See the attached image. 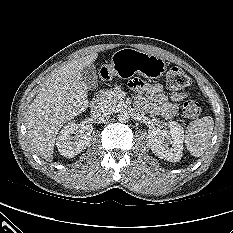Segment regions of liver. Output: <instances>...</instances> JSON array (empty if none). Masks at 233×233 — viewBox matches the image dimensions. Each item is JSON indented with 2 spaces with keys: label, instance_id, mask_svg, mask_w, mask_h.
I'll return each mask as SVG.
<instances>
[{
  "label": "liver",
  "instance_id": "1",
  "mask_svg": "<svg viewBox=\"0 0 233 233\" xmlns=\"http://www.w3.org/2000/svg\"><path fill=\"white\" fill-rule=\"evenodd\" d=\"M98 53L73 60L54 71L29 106L27 127L31 145L47 161H52L59 129L88 106V88L82 81L83 68Z\"/></svg>",
  "mask_w": 233,
  "mask_h": 233
}]
</instances>
